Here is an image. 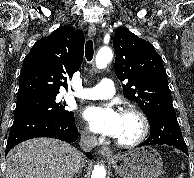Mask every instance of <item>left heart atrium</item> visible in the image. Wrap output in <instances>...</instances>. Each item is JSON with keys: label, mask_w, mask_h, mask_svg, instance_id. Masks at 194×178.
Segmentation results:
<instances>
[{"label": "left heart atrium", "mask_w": 194, "mask_h": 178, "mask_svg": "<svg viewBox=\"0 0 194 178\" xmlns=\"http://www.w3.org/2000/svg\"><path fill=\"white\" fill-rule=\"evenodd\" d=\"M83 117L96 133L116 137L120 131L121 114L111 106H89Z\"/></svg>", "instance_id": "1"}]
</instances>
